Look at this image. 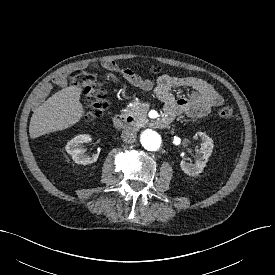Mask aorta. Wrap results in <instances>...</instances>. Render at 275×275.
I'll use <instances>...</instances> for the list:
<instances>
[{
	"label": "aorta",
	"mask_w": 275,
	"mask_h": 275,
	"mask_svg": "<svg viewBox=\"0 0 275 275\" xmlns=\"http://www.w3.org/2000/svg\"><path fill=\"white\" fill-rule=\"evenodd\" d=\"M141 144L148 151H157L161 146L160 135L153 130H145L140 137Z\"/></svg>",
	"instance_id": "obj_1"
}]
</instances>
